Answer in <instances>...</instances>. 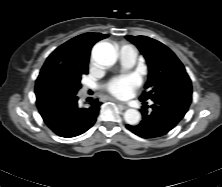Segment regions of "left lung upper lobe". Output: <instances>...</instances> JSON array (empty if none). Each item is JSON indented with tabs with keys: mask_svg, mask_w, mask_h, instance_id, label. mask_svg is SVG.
<instances>
[{
	"mask_svg": "<svg viewBox=\"0 0 222 187\" xmlns=\"http://www.w3.org/2000/svg\"><path fill=\"white\" fill-rule=\"evenodd\" d=\"M146 59L148 81L141 101L153 100L162 93L192 89L191 80L177 56L161 42L146 36H126Z\"/></svg>",
	"mask_w": 222,
	"mask_h": 187,
	"instance_id": "obj_1",
	"label": "left lung upper lobe"
}]
</instances>
